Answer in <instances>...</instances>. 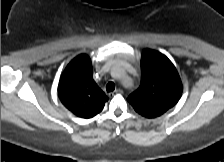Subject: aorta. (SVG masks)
Listing matches in <instances>:
<instances>
[{
  "instance_id": "1",
  "label": "aorta",
  "mask_w": 224,
  "mask_h": 162,
  "mask_svg": "<svg viewBox=\"0 0 224 162\" xmlns=\"http://www.w3.org/2000/svg\"><path fill=\"white\" fill-rule=\"evenodd\" d=\"M116 76L120 78L123 82H130V78L126 75L124 70L120 66L114 68Z\"/></svg>"
}]
</instances>
